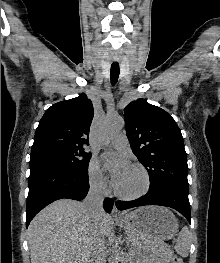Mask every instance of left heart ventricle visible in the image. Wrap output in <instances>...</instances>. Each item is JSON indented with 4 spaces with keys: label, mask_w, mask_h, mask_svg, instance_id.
Masks as SVG:
<instances>
[{
    "label": "left heart ventricle",
    "mask_w": 220,
    "mask_h": 263,
    "mask_svg": "<svg viewBox=\"0 0 220 263\" xmlns=\"http://www.w3.org/2000/svg\"><path fill=\"white\" fill-rule=\"evenodd\" d=\"M115 185L121 192L133 194L142 190L144 176L138 168L130 166Z\"/></svg>",
    "instance_id": "left-heart-ventricle-1"
}]
</instances>
